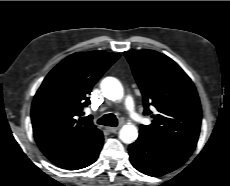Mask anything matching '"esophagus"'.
<instances>
[{"mask_svg": "<svg viewBox=\"0 0 230 186\" xmlns=\"http://www.w3.org/2000/svg\"><path fill=\"white\" fill-rule=\"evenodd\" d=\"M119 129H120V126H118V127H108V128H107V130H108L110 133H115V132H117Z\"/></svg>", "mask_w": 230, "mask_h": 186, "instance_id": "obj_1", "label": "esophagus"}]
</instances>
